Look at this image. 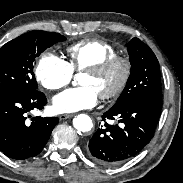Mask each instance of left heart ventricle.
Instances as JSON below:
<instances>
[{
	"label": "left heart ventricle",
	"mask_w": 183,
	"mask_h": 183,
	"mask_svg": "<svg viewBox=\"0 0 183 183\" xmlns=\"http://www.w3.org/2000/svg\"><path fill=\"white\" fill-rule=\"evenodd\" d=\"M121 75L122 67L118 65L99 76L84 73L80 80V84L82 86H91L100 95L101 93H105L115 87L119 82Z\"/></svg>",
	"instance_id": "1"
}]
</instances>
